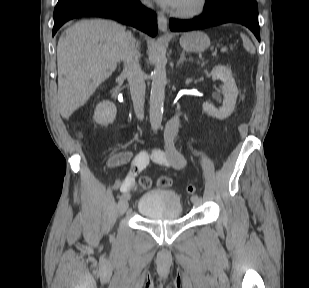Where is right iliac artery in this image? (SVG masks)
Returning <instances> with one entry per match:
<instances>
[{
	"mask_svg": "<svg viewBox=\"0 0 309 288\" xmlns=\"http://www.w3.org/2000/svg\"><path fill=\"white\" fill-rule=\"evenodd\" d=\"M119 199L125 200V199H131L132 193L131 192H121L120 195H118Z\"/></svg>",
	"mask_w": 309,
	"mask_h": 288,
	"instance_id": "obj_1",
	"label": "right iliac artery"
}]
</instances>
